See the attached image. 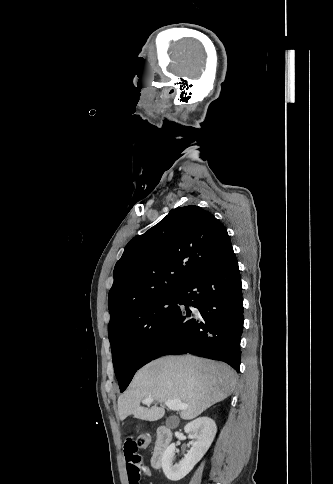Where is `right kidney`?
Returning <instances> with one entry per match:
<instances>
[{"instance_id": "1", "label": "right kidney", "mask_w": 333, "mask_h": 484, "mask_svg": "<svg viewBox=\"0 0 333 484\" xmlns=\"http://www.w3.org/2000/svg\"><path fill=\"white\" fill-rule=\"evenodd\" d=\"M188 438L192 439L191 448L178 464L173 465L176 445L172 443L162 456V469L171 481L183 479L205 455L217 432L214 420L201 417L193 420L184 427Z\"/></svg>"}]
</instances>
